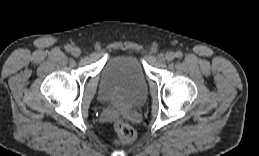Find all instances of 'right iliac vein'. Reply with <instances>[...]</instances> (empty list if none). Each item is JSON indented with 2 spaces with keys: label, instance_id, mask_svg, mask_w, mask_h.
Segmentation results:
<instances>
[{
  "label": "right iliac vein",
  "instance_id": "63e3f726",
  "mask_svg": "<svg viewBox=\"0 0 259 156\" xmlns=\"http://www.w3.org/2000/svg\"><path fill=\"white\" fill-rule=\"evenodd\" d=\"M73 56L78 57L81 54V50L78 47H74L71 50Z\"/></svg>",
  "mask_w": 259,
  "mask_h": 156
}]
</instances>
